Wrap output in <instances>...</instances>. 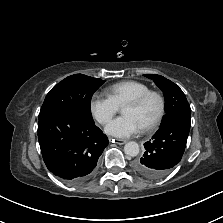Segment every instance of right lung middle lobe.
<instances>
[{
  "instance_id": "dd1d6c3e",
  "label": "right lung middle lobe",
  "mask_w": 223,
  "mask_h": 223,
  "mask_svg": "<svg viewBox=\"0 0 223 223\" xmlns=\"http://www.w3.org/2000/svg\"><path fill=\"white\" fill-rule=\"evenodd\" d=\"M104 82L83 74L68 76L47 94L39 113V119L56 111L73 110L93 120L90 108L91 98Z\"/></svg>"
}]
</instances>
